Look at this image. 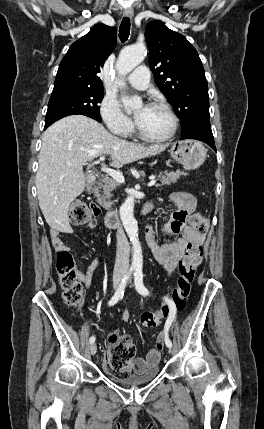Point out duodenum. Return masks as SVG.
<instances>
[{
    "mask_svg": "<svg viewBox=\"0 0 264 429\" xmlns=\"http://www.w3.org/2000/svg\"><path fill=\"white\" fill-rule=\"evenodd\" d=\"M96 176L94 175H90L88 177V183L89 185H93L96 182ZM151 209V205L150 204H146L142 207L141 213L142 214H146L147 212H149ZM104 223L107 227H116L119 224V215L117 211H109L106 213L105 217H104Z\"/></svg>",
    "mask_w": 264,
    "mask_h": 429,
    "instance_id": "duodenum-1",
    "label": "duodenum"
}]
</instances>
